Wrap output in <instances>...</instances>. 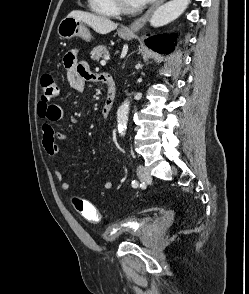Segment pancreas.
I'll list each match as a JSON object with an SVG mask.
<instances>
[{
    "label": "pancreas",
    "mask_w": 249,
    "mask_h": 294,
    "mask_svg": "<svg viewBox=\"0 0 249 294\" xmlns=\"http://www.w3.org/2000/svg\"><path fill=\"white\" fill-rule=\"evenodd\" d=\"M91 59L92 60H99L101 57H105L109 55V51L107 50V48L103 45H99L97 47H95L92 51H91Z\"/></svg>",
    "instance_id": "obj_1"
}]
</instances>
